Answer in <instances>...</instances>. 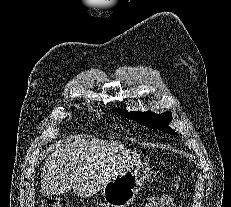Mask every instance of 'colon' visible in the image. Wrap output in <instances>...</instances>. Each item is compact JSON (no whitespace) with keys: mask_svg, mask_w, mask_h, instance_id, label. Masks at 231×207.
<instances>
[{"mask_svg":"<svg viewBox=\"0 0 231 207\" xmlns=\"http://www.w3.org/2000/svg\"><path fill=\"white\" fill-rule=\"evenodd\" d=\"M43 207H64L58 199H48ZM136 207H177V204L169 194H159L148 199L145 203Z\"/></svg>","mask_w":231,"mask_h":207,"instance_id":"colon-1","label":"colon"}]
</instances>
